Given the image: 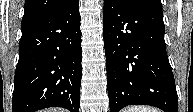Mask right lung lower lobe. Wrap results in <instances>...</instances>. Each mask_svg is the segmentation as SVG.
Masks as SVG:
<instances>
[{
  "label": "right lung lower lobe",
  "mask_w": 193,
  "mask_h": 112,
  "mask_svg": "<svg viewBox=\"0 0 193 112\" xmlns=\"http://www.w3.org/2000/svg\"><path fill=\"white\" fill-rule=\"evenodd\" d=\"M79 0L21 26L12 112L63 107L79 112L81 31Z\"/></svg>",
  "instance_id": "1"
}]
</instances>
